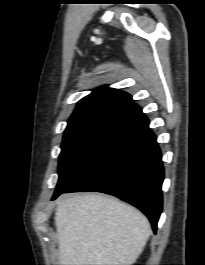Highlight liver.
Masks as SVG:
<instances>
[{
    "instance_id": "obj_1",
    "label": "liver",
    "mask_w": 205,
    "mask_h": 265,
    "mask_svg": "<svg viewBox=\"0 0 205 265\" xmlns=\"http://www.w3.org/2000/svg\"><path fill=\"white\" fill-rule=\"evenodd\" d=\"M54 219L65 265L133 264L152 233L140 211L101 194L62 197Z\"/></svg>"
}]
</instances>
